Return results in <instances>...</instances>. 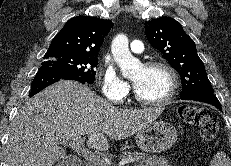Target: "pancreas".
<instances>
[{
	"label": "pancreas",
	"mask_w": 231,
	"mask_h": 166,
	"mask_svg": "<svg viewBox=\"0 0 231 166\" xmlns=\"http://www.w3.org/2000/svg\"><path fill=\"white\" fill-rule=\"evenodd\" d=\"M122 160L134 158L138 162L135 166H172L164 157H158L156 155H148L142 152H129L125 151L120 155ZM86 166H108L105 161L99 164L88 163Z\"/></svg>",
	"instance_id": "cf45deb5"
}]
</instances>
